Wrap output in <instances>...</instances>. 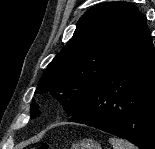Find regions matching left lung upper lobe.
<instances>
[{
  "label": "left lung upper lobe",
  "instance_id": "left-lung-upper-lobe-1",
  "mask_svg": "<svg viewBox=\"0 0 155 149\" xmlns=\"http://www.w3.org/2000/svg\"><path fill=\"white\" fill-rule=\"evenodd\" d=\"M144 15L129 2H107L91 7L79 19L73 37L49 63L35 93H47L71 117L85 103L90 88L112 65ZM31 104V118L40 115Z\"/></svg>",
  "mask_w": 155,
  "mask_h": 149
}]
</instances>
